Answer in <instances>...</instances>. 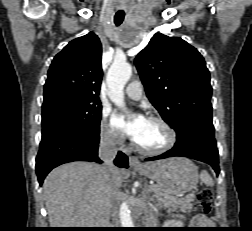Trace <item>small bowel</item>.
I'll return each mask as SVG.
<instances>
[{
    "label": "small bowel",
    "mask_w": 252,
    "mask_h": 231,
    "mask_svg": "<svg viewBox=\"0 0 252 231\" xmlns=\"http://www.w3.org/2000/svg\"><path fill=\"white\" fill-rule=\"evenodd\" d=\"M208 223H209V218L203 214L195 215L190 221V224L193 227H203V226H206Z\"/></svg>",
    "instance_id": "c3829d8e"
}]
</instances>
